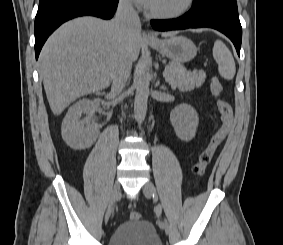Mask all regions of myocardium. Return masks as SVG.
Instances as JSON below:
<instances>
[{
	"mask_svg": "<svg viewBox=\"0 0 283 245\" xmlns=\"http://www.w3.org/2000/svg\"><path fill=\"white\" fill-rule=\"evenodd\" d=\"M195 0H184L183 3L176 9L171 11H156L153 9H148L147 13L153 18L159 19H173L181 17L186 14L194 5Z\"/></svg>",
	"mask_w": 283,
	"mask_h": 245,
	"instance_id": "obj_1",
	"label": "myocardium"
}]
</instances>
